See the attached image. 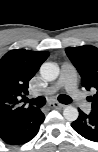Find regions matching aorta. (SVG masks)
<instances>
[{
  "label": "aorta",
  "mask_w": 98,
  "mask_h": 152,
  "mask_svg": "<svg viewBox=\"0 0 98 152\" xmlns=\"http://www.w3.org/2000/svg\"><path fill=\"white\" fill-rule=\"evenodd\" d=\"M59 67L52 62L43 63L40 68L41 76L47 81H54L59 76ZM79 112L73 106H67L63 111V116L68 121H75L78 118Z\"/></svg>",
  "instance_id": "1"
}]
</instances>
